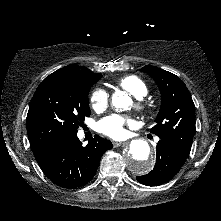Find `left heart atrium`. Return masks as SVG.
Instances as JSON below:
<instances>
[{
  "mask_svg": "<svg viewBox=\"0 0 221 221\" xmlns=\"http://www.w3.org/2000/svg\"><path fill=\"white\" fill-rule=\"evenodd\" d=\"M133 121L125 116L110 115L99 122V130L113 139H120L126 135V126H132Z\"/></svg>",
  "mask_w": 221,
  "mask_h": 221,
  "instance_id": "left-heart-atrium-1",
  "label": "left heart atrium"
}]
</instances>
